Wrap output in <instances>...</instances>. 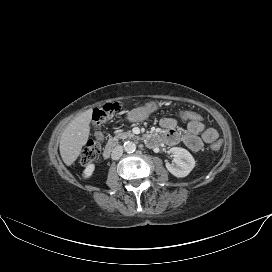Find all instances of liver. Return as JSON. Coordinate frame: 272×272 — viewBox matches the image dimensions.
<instances>
[{
  "mask_svg": "<svg viewBox=\"0 0 272 272\" xmlns=\"http://www.w3.org/2000/svg\"><path fill=\"white\" fill-rule=\"evenodd\" d=\"M92 112L90 110L77 116L64 129L60 139V155L67 166L73 164L86 144L90 133Z\"/></svg>",
  "mask_w": 272,
  "mask_h": 272,
  "instance_id": "liver-1",
  "label": "liver"
}]
</instances>
